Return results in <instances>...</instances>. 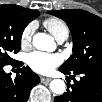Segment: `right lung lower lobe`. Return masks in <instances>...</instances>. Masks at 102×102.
<instances>
[{
  "label": "right lung lower lobe",
  "mask_w": 102,
  "mask_h": 102,
  "mask_svg": "<svg viewBox=\"0 0 102 102\" xmlns=\"http://www.w3.org/2000/svg\"><path fill=\"white\" fill-rule=\"evenodd\" d=\"M13 67H21L20 61L10 64ZM14 80L9 74L3 71V65H0V100L2 102H26L29 97L30 90L40 82V78L29 67L23 66L18 68Z\"/></svg>",
  "instance_id": "obj_1"
}]
</instances>
